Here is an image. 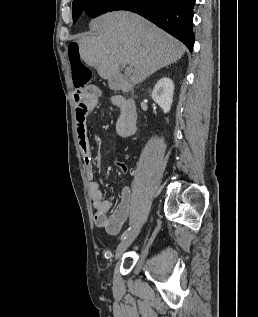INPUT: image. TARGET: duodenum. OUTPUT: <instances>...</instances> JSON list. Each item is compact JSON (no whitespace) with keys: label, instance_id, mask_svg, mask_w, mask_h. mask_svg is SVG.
<instances>
[{"label":"duodenum","instance_id":"obj_1","mask_svg":"<svg viewBox=\"0 0 258 317\" xmlns=\"http://www.w3.org/2000/svg\"><path fill=\"white\" fill-rule=\"evenodd\" d=\"M86 98H87V93L84 89H81V88L75 89L73 93V100L76 105H80L81 103H83Z\"/></svg>","mask_w":258,"mask_h":317}]
</instances>
